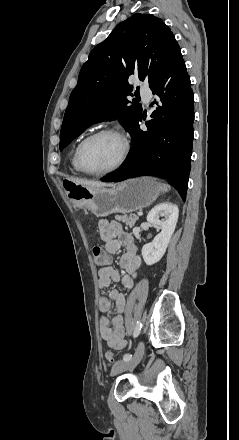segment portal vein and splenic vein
<instances>
[{"label":"portal vein and splenic vein","instance_id":"portal-vein-and-splenic-vein-1","mask_svg":"<svg viewBox=\"0 0 239 440\" xmlns=\"http://www.w3.org/2000/svg\"><path fill=\"white\" fill-rule=\"evenodd\" d=\"M137 214H138V215H142V212H138Z\"/></svg>","mask_w":239,"mask_h":440}]
</instances>
